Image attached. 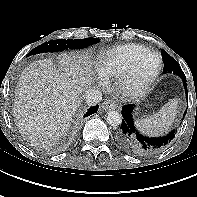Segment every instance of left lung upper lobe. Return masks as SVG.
I'll use <instances>...</instances> for the list:
<instances>
[{
  "mask_svg": "<svg viewBox=\"0 0 197 197\" xmlns=\"http://www.w3.org/2000/svg\"><path fill=\"white\" fill-rule=\"evenodd\" d=\"M161 54H162V58H163V62H164V69H163V73H174L178 76H180V78H184L185 75L181 69V67L179 66L178 62L172 58L165 50H161Z\"/></svg>",
  "mask_w": 197,
  "mask_h": 197,
  "instance_id": "1",
  "label": "left lung upper lobe"
}]
</instances>
